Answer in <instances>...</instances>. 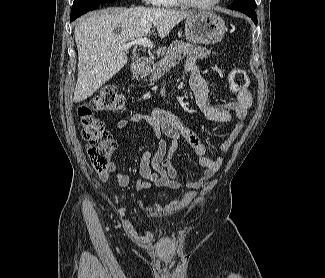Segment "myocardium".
<instances>
[{"mask_svg": "<svg viewBox=\"0 0 325 278\" xmlns=\"http://www.w3.org/2000/svg\"><path fill=\"white\" fill-rule=\"evenodd\" d=\"M180 4L199 10H206L216 6L221 0H211L208 3H196L192 0H177Z\"/></svg>", "mask_w": 325, "mask_h": 278, "instance_id": "f54148a6", "label": "myocardium"}]
</instances>
